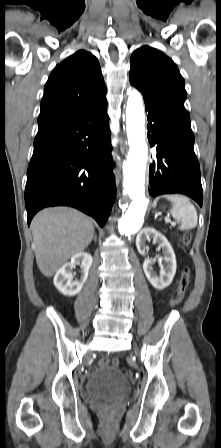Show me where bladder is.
Segmentation results:
<instances>
[{
  "mask_svg": "<svg viewBox=\"0 0 221 448\" xmlns=\"http://www.w3.org/2000/svg\"><path fill=\"white\" fill-rule=\"evenodd\" d=\"M85 391L92 398L114 401L127 397L131 384L120 369L100 367L88 378Z\"/></svg>",
  "mask_w": 221,
  "mask_h": 448,
  "instance_id": "bladder-1",
  "label": "bladder"
}]
</instances>
